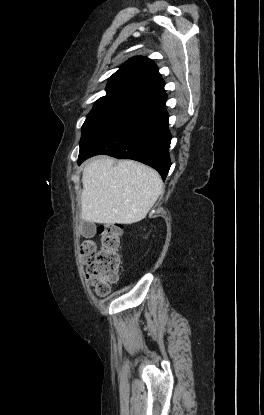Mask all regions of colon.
<instances>
[{
  "instance_id": "5ec220e1",
  "label": "colon",
  "mask_w": 264,
  "mask_h": 415,
  "mask_svg": "<svg viewBox=\"0 0 264 415\" xmlns=\"http://www.w3.org/2000/svg\"><path fill=\"white\" fill-rule=\"evenodd\" d=\"M122 227L104 225L97 229L95 238L86 240L80 248V257L86 268V281L98 296H107L120 275Z\"/></svg>"
}]
</instances>
